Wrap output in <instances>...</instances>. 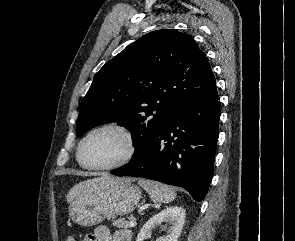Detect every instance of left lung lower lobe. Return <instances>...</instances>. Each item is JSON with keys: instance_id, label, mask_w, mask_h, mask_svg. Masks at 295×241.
<instances>
[{"instance_id": "0a47b994", "label": "left lung lower lobe", "mask_w": 295, "mask_h": 241, "mask_svg": "<svg viewBox=\"0 0 295 241\" xmlns=\"http://www.w3.org/2000/svg\"><path fill=\"white\" fill-rule=\"evenodd\" d=\"M219 118L220 101L214 84L207 93L178 109L139 155L111 174L179 186L200 202L213 175Z\"/></svg>"}]
</instances>
